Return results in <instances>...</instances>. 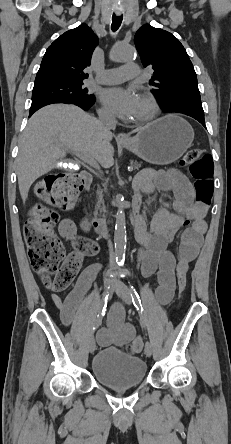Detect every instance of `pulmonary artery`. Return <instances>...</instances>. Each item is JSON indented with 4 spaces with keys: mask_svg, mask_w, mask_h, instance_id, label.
<instances>
[{
    "mask_svg": "<svg viewBox=\"0 0 231 444\" xmlns=\"http://www.w3.org/2000/svg\"><path fill=\"white\" fill-rule=\"evenodd\" d=\"M138 77L139 69L135 64H124L119 68L108 69L98 73L95 82L99 84H117Z\"/></svg>",
    "mask_w": 231,
    "mask_h": 444,
    "instance_id": "pulmonary-artery-1",
    "label": "pulmonary artery"
}]
</instances>
